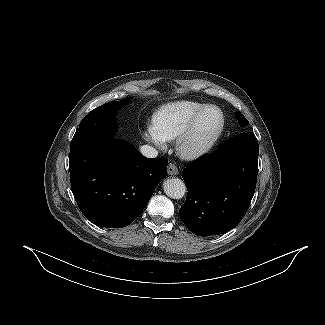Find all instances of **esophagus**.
I'll return each instance as SVG.
<instances>
[{
	"instance_id": "obj_1",
	"label": "esophagus",
	"mask_w": 325,
	"mask_h": 325,
	"mask_svg": "<svg viewBox=\"0 0 325 325\" xmlns=\"http://www.w3.org/2000/svg\"><path fill=\"white\" fill-rule=\"evenodd\" d=\"M167 173L169 175H177L179 173L178 168L176 167L175 164L170 163L167 168Z\"/></svg>"
}]
</instances>
